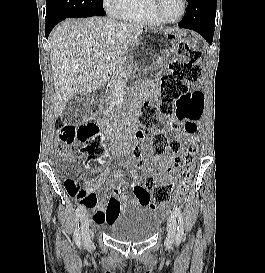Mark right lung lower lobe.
I'll use <instances>...</instances> for the list:
<instances>
[{
  "mask_svg": "<svg viewBox=\"0 0 265 273\" xmlns=\"http://www.w3.org/2000/svg\"><path fill=\"white\" fill-rule=\"evenodd\" d=\"M60 21H52V22H46V32H45V36L46 38L48 37L49 33L51 32V30L53 29V27Z\"/></svg>",
  "mask_w": 265,
  "mask_h": 273,
  "instance_id": "obj_1",
  "label": "right lung lower lobe"
}]
</instances>
